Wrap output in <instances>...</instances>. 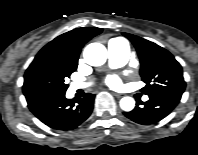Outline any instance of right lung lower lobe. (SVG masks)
<instances>
[{
	"label": "right lung lower lobe",
	"instance_id": "obj_1",
	"mask_svg": "<svg viewBox=\"0 0 198 155\" xmlns=\"http://www.w3.org/2000/svg\"><path fill=\"white\" fill-rule=\"evenodd\" d=\"M28 107L47 126L56 130H72L83 123L93 110L95 96L87 93L70 100L65 92H41L25 95Z\"/></svg>",
	"mask_w": 198,
	"mask_h": 155
}]
</instances>
